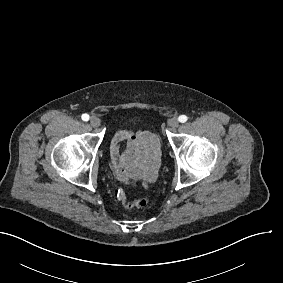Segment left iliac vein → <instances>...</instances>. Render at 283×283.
Listing matches in <instances>:
<instances>
[{
	"mask_svg": "<svg viewBox=\"0 0 283 283\" xmlns=\"http://www.w3.org/2000/svg\"><path fill=\"white\" fill-rule=\"evenodd\" d=\"M168 126L170 128L176 129L179 126V121L177 117H173L168 121Z\"/></svg>",
	"mask_w": 283,
	"mask_h": 283,
	"instance_id": "left-iliac-vein-1",
	"label": "left iliac vein"
}]
</instances>
